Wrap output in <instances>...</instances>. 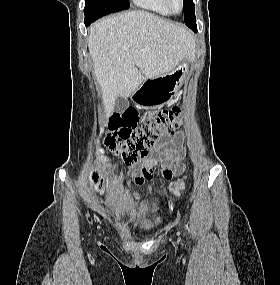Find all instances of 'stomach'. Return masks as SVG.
Wrapping results in <instances>:
<instances>
[{"label": "stomach", "mask_w": 280, "mask_h": 285, "mask_svg": "<svg viewBox=\"0 0 280 285\" xmlns=\"http://www.w3.org/2000/svg\"><path fill=\"white\" fill-rule=\"evenodd\" d=\"M189 57H184L171 71L146 80L133 93V100L142 106H161L178 92L186 75Z\"/></svg>", "instance_id": "1"}]
</instances>
